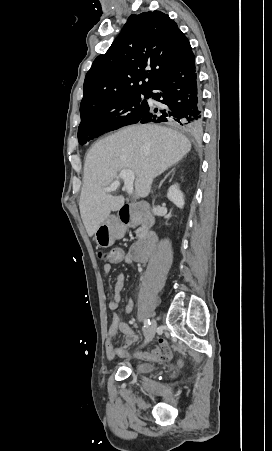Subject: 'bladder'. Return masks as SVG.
Masks as SVG:
<instances>
[{"label":"bladder","mask_w":272,"mask_h":451,"mask_svg":"<svg viewBox=\"0 0 272 451\" xmlns=\"http://www.w3.org/2000/svg\"><path fill=\"white\" fill-rule=\"evenodd\" d=\"M154 369L155 365L150 361H137L133 366L134 373L138 376L149 375Z\"/></svg>","instance_id":"31cf9c89"}]
</instances>
